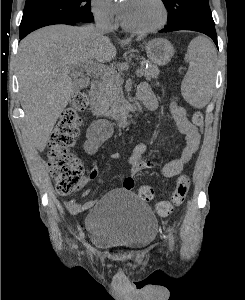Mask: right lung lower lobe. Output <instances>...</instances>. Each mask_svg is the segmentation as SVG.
Returning a JSON list of instances; mask_svg holds the SVG:
<instances>
[{"label": "right lung lower lobe", "mask_w": 245, "mask_h": 300, "mask_svg": "<svg viewBox=\"0 0 245 300\" xmlns=\"http://www.w3.org/2000/svg\"><path fill=\"white\" fill-rule=\"evenodd\" d=\"M84 22H79V23H68L67 25H77V24H81ZM27 34H20V39H23Z\"/></svg>", "instance_id": "1"}]
</instances>
